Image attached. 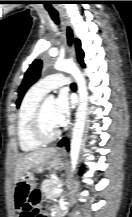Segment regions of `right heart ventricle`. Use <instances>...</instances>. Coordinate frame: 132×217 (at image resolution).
I'll return each mask as SVG.
<instances>
[{
	"label": "right heart ventricle",
	"instance_id": "e07e8e85",
	"mask_svg": "<svg viewBox=\"0 0 132 217\" xmlns=\"http://www.w3.org/2000/svg\"><path fill=\"white\" fill-rule=\"evenodd\" d=\"M45 94L35 85L26 92L21 102L18 113L17 136L19 146L24 152L35 151L43 145L32 133V117Z\"/></svg>",
	"mask_w": 132,
	"mask_h": 217
}]
</instances>
